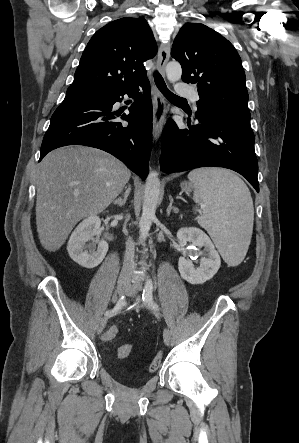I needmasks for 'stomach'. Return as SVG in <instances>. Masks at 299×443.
<instances>
[{
    "label": "stomach",
    "mask_w": 299,
    "mask_h": 443,
    "mask_svg": "<svg viewBox=\"0 0 299 443\" xmlns=\"http://www.w3.org/2000/svg\"><path fill=\"white\" fill-rule=\"evenodd\" d=\"M181 189L186 192L189 193L191 192V190L193 189V184L192 183H188V182H183L181 184Z\"/></svg>",
    "instance_id": "stomach-1"
}]
</instances>
